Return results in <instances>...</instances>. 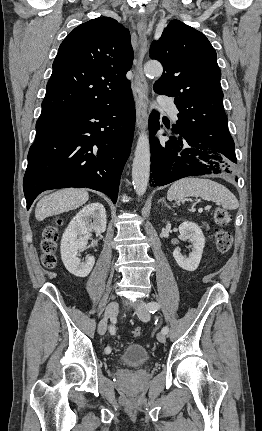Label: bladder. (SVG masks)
<instances>
[{"label":"bladder","mask_w":262,"mask_h":431,"mask_svg":"<svg viewBox=\"0 0 262 431\" xmlns=\"http://www.w3.org/2000/svg\"><path fill=\"white\" fill-rule=\"evenodd\" d=\"M150 356L145 347L139 343H129L120 353V362L129 367H136L145 364Z\"/></svg>","instance_id":"bladder-1"}]
</instances>
